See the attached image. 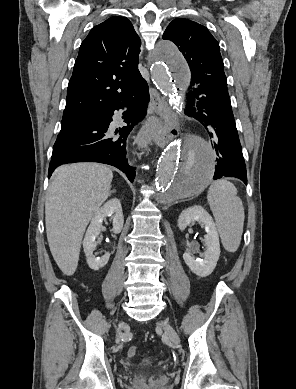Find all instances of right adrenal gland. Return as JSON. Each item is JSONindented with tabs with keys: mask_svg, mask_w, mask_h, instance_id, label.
<instances>
[{
	"mask_svg": "<svg viewBox=\"0 0 296 389\" xmlns=\"http://www.w3.org/2000/svg\"><path fill=\"white\" fill-rule=\"evenodd\" d=\"M115 192H116L115 190H112V191L110 192V194H111V193H115Z\"/></svg>",
	"mask_w": 296,
	"mask_h": 389,
	"instance_id": "right-adrenal-gland-1",
	"label": "right adrenal gland"
}]
</instances>
